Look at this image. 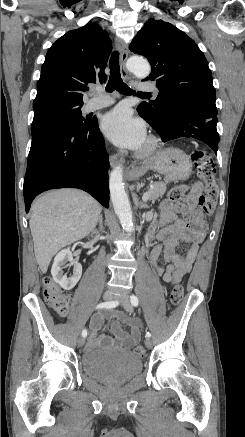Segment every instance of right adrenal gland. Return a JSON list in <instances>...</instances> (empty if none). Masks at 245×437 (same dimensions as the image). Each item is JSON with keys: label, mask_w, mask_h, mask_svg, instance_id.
Segmentation results:
<instances>
[{"label": "right adrenal gland", "mask_w": 245, "mask_h": 437, "mask_svg": "<svg viewBox=\"0 0 245 437\" xmlns=\"http://www.w3.org/2000/svg\"><path fill=\"white\" fill-rule=\"evenodd\" d=\"M99 221H100V228L102 226V215H100L99 217ZM98 232V230L93 231V234H96Z\"/></svg>", "instance_id": "right-adrenal-gland-1"}]
</instances>
